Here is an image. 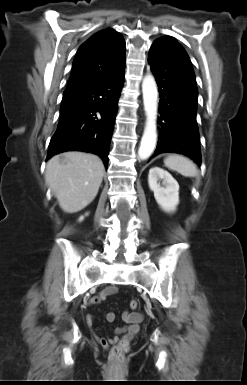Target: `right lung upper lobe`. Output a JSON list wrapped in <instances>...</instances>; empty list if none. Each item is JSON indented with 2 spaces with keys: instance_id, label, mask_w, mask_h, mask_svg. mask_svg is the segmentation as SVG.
<instances>
[{
  "instance_id": "1",
  "label": "right lung upper lobe",
  "mask_w": 247,
  "mask_h": 385,
  "mask_svg": "<svg viewBox=\"0 0 247 385\" xmlns=\"http://www.w3.org/2000/svg\"><path fill=\"white\" fill-rule=\"evenodd\" d=\"M125 50L124 38L113 29L93 35L78 49L64 93L118 72L125 66Z\"/></svg>"
}]
</instances>
